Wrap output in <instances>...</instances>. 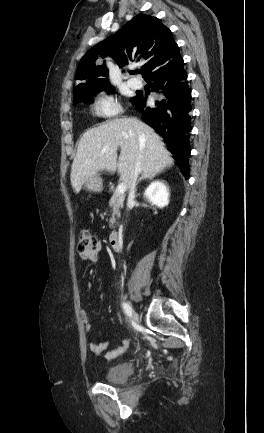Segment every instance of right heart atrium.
<instances>
[{
    "label": "right heart atrium",
    "mask_w": 264,
    "mask_h": 433,
    "mask_svg": "<svg viewBox=\"0 0 264 433\" xmlns=\"http://www.w3.org/2000/svg\"><path fill=\"white\" fill-rule=\"evenodd\" d=\"M121 111L117 99L112 95H98L93 102V112L101 118H110L118 115Z\"/></svg>",
    "instance_id": "obj_1"
}]
</instances>
